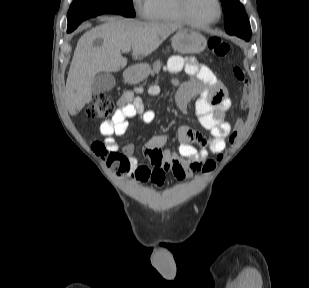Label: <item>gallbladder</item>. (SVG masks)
<instances>
[{
  "label": "gallbladder",
  "instance_id": "bac80fb5",
  "mask_svg": "<svg viewBox=\"0 0 309 288\" xmlns=\"http://www.w3.org/2000/svg\"><path fill=\"white\" fill-rule=\"evenodd\" d=\"M115 86V78L111 73H101L97 75L92 83V91L108 92L111 91Z\"/></svg>",
  "mask_w": 309,
  "mask_h": 288
}]
</instances>
